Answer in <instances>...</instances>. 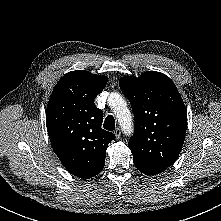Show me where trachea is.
Wrapping results in <instances>:
<instances>
[{
	"mask_svg": "<svg viewBox=\"0 0 221 221\" xmlns=\"http://www.w3.org/2000/svg\"><path fill=\"white\" fill-rule=\"evenodd\" d=\"M103 127L108 131H113L115 129V119L112 115H108L105 118Z\"/></svg>",
	"mask_w": 221,
	"mask_h": 221,
	"instance_id": "trachea-1",
	"label": "trachea"
}]
</instances>
